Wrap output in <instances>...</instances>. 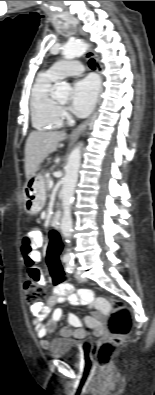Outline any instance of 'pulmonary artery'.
<instances>
[{"instance_id":"e3ab8cb5","label":"pulmonary artery","mask_w":155,"mask_h":395,"mask_svg":"<svg viewBox=\"0 0 155 395\" xmlns=\"http://www.w3.org/2000/svg\"><path fill=\"white\" fill-rule=\"evenodd\" d=\"M83 71L84 67L79 61H60L52 65L48 70V72L56 79L79 75Z\"/></svg>"}]
</instances>
